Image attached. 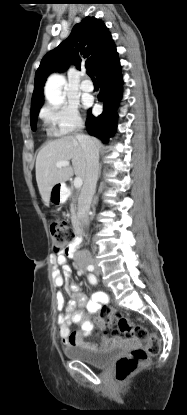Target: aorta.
<instances>
[{
  "label": "aorta",
  "mask_w": 187,
  "mask_h": 415,
  "mask_svg": "<svg viewBox=\"0 0 187 415\" xmlns=\"http://www.w3.org/2000/svg\"><path fill=\"white\" fill-rule=\"evenodd\" d=\"M65 78L59 74L51 75L45 85V97L52 106H59L63 103L62 86Z\"/></svg>",
  "instance_id": "762f6f07"
}]
</instances>
